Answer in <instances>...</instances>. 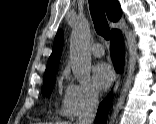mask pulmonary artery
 <instances>
[{"label": "pulmonary artery", "instance_id": "e3ab8cb5", "mask_svg": "<svg viewBox=\"0 0 156 124\" xmlns=\"http://www.w3.org/2000/svg\"><path fill=\"white\" fill-rule=\"evenodd\" d=\"M91 53L95 57H102L104 55V48L102 44L100 43H95L91 46Z\"/></svg>", "mask_w": 156, "mask_h": 124}]
</instances>
